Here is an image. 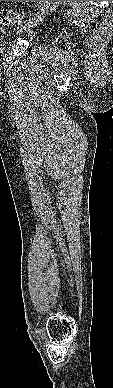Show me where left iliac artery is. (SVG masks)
<instances>
[{
  "instance_id": "44dca946",
  "label": "left iliac artery",
  "mask_w": 113,
  "mask_h": 388,
  "mask_svg": "<svg viewBox=\"0 0 113 388\" xmlns=\"http://www.w3.org/2000/svg\"><path fill=\"white\" fill-rule=\"evenodd\" d=\"M41 5V1H38V6H40Z\"/></svg>"
}]
</instances>
